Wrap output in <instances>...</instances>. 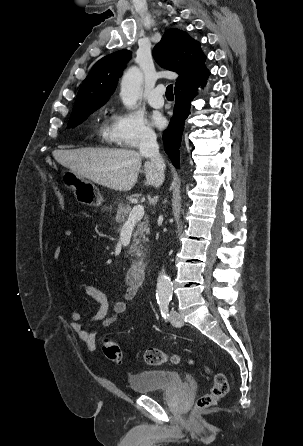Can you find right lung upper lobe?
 Returning a JSON list of instances; mask_svg holds the SVG:
<instances>
[{"instance_id": "cb5924a9", "label": "right lung upper lobe", "mask_w": 303, "mask_h": 446, "mask_svg": "<svg viewBox=\"0 0 303 446\" xmlns=\"http://www.w3.org/2000/svg\"><path fill=\"white\" fill-rule=\"evenodd\" d=\"M157 63L179 74L175 90L209 74L199 42L178 29H169L154 47ZM131 52L120 50L100 59L82 83L72 113L103 105L114 92Z\"/></svg>"}]
</instances>
